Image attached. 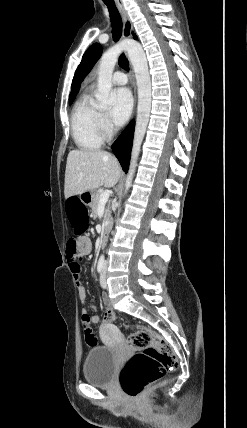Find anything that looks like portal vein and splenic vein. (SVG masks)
<instances>
[{"label":"portal vein and splenic vein","instance_id":"18ae733b","mask_svg":"<svg viewBox=\"0 0 247 428\" xmlns=\"http://www.w3.org/2000/svg\"><path fill=\"white\" fill-rule=\"evenodd\" d=\"M109 199V192L108 191H104L102 192L101 196H100V204H105Z\"/></svg>","mask_w":247,"mask_h":428}]
</instances>
